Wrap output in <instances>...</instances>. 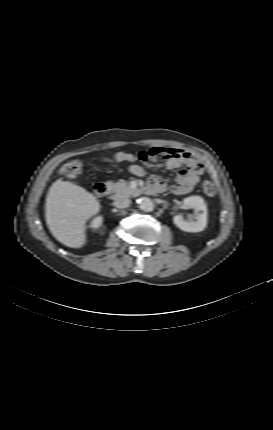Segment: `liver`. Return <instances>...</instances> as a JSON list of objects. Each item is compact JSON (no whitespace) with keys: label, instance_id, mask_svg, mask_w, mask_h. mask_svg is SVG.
<instances>
[{"label":"liver","instance_id":"1","mask_svg":"<svg viewBox=\"0 0 273 430\" xmlns=\"http://www.w3.org/2000/svg\"><path fill=\"white\" fill-rule=\"evenodd\" d=\"M101 205L86 189L69 181L56 180L46 197V223L53 236L71 248L86 244L87 222Z\"/></svg>","mask_w":273,"mask_h":430}]
</instances>
